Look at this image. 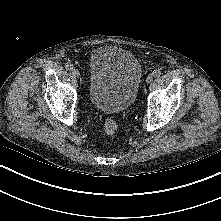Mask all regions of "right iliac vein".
<instances>
[{
  "label": "right iliac vein",
  "mask_w": 221,
  "mask_h": 221,
  "mask_svg": "<svg viewBox=\"0 0 221 221\" xmlns=\"http://www.w3.org/2000/svg\"><path fill=\"white\" fill-rule=\"evenodd\" d=\"M72 75H73L74 77H79V76H80L79 70H78V69H72Z\"/></svg>",
  "instance_id": "obj_1"
}]
</instances>
